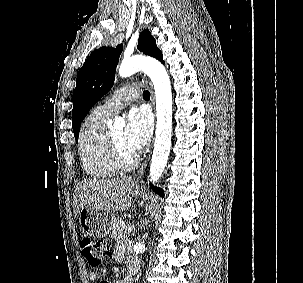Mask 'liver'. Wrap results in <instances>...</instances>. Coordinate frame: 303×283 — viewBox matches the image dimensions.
<instances>
[{"label":"liver","mask_w":303,"mask_h":283,"mask_svg":"<svg viewBox=\"0 0 303 283\" xmlns=\"http://www.w3.org/2000/svg\"><path fill=\"white\" fill-rule=\"evenodd\" d=\"M134 179L131 177L82 180L75 188L73 196L75 216L84 206L109 212L127 211L132 205Z\"/></svg>","instance_id":"liver-1"}]
</instances>
